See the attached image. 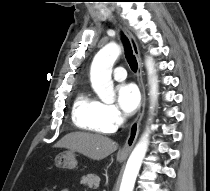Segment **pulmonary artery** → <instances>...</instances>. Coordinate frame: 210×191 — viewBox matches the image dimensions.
Listing matches in <instances>:
<instances>
[{
  "instance_id": "1",
  "label": "pulmonary artery",
  "mask_w": 210,
  "mask_h": 191,
  "mask_svg": "<svg viewBox=\"0 0 210 191\" xmlns=\"http://www.w3.org/2000/svg\"><path fill=\"white\" fill-rule=\"evenodd\" d=\"M113 77L117 81H123L127 77L125 68L118 66L113 70Z\"/></svg>"
}]
</instances>
